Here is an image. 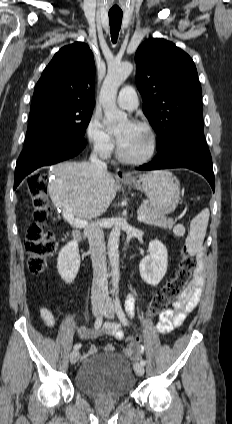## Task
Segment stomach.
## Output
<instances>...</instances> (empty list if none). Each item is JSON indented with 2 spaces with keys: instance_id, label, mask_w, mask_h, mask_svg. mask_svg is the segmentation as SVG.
Wrapping results in <instances>:
<instances>
[{
  "instance_id": "1",
  "label": "stomach",
  "mask_w": 232,
  "mask_h": 424,
  "mask_svg": "<svg viewBox=\"0 0 232 424\" xmlns=\"http://www.w3.org/2000/svg\"><path fill=\"white\" fill-rule=\"evenodd\" d=\"M123 183L143 191L152 208L163 215L173 212L180 200L179 181L167 170L151 171Z\"/></svg>"
}]
</instances>
